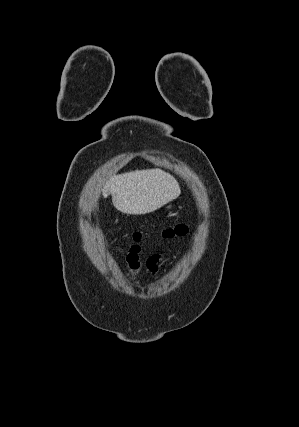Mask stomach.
Segmentation results:
<instances>
[{
	"mask_svg": "<svg viewBox=\"0 0 299 427\" xmlns=\"http://www.w3.org/2000/svg\"><path fill=\"white\" fill-rule=\"evenodd\" d=\"M173 208V206L170 204V205H168V206H166V209L167 210H171Z\"/></svg>",
	"mask_w": 299,
	"mask_h": 427,
	"instance_id": "1",
	"label": "stomach"
}]
</instances>
